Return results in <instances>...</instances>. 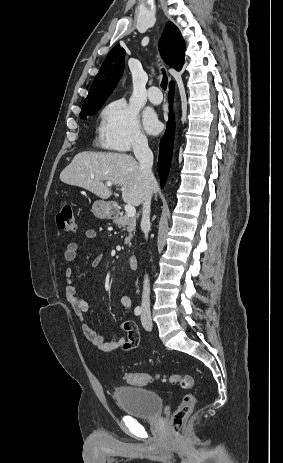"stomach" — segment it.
I'll return each instance as SVG.
<instances>
[{
	"instance_id": "1",
	"label": "stomach",
	"mask_w": 283,
	"mask_h": 463,
	"mask_svg": "<svg viewBox=\"0 0 283 463\" xmlns=\"http://www.w3.org/2000/svg\"><path fill=\"white\" fill-rule=\"evenodd\" d=\"M92 213L99 219H110L114 214V207L110 202L97 200L92 205Z\"/></svg>"
}]
</instances>
